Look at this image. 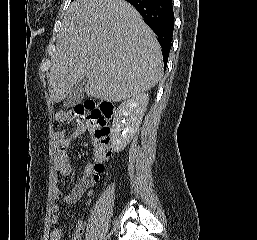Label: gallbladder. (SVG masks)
Instances as JSON below:
<instances>
[{"label":"gallbladder","mask_w":257,"mask_h":240,"mask_svg":"<svg viewBox=\"0 0 257 240\" xmlns=\"http://www.w3.org/2000/svg\"><path fill=\"white\" fill-rule=\"evenodd\" d=\"M85 82V79H81L75 83L67 99L63 103L64 107H74L81 102L85 93Z\"/></svg>","instance_id":"bac80fb5"}]
</instances>
